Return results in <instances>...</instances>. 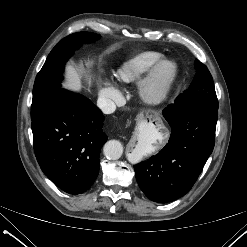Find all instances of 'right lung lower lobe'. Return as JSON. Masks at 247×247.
I'll list each match as a JSON object with an SVG mask.
<instances>
[{"instance_id":"right-lung-lower-lobe-1","label":"right lung lower lobe","mask_w":247,"mask_h":247,"mask_svg":"<svg viewBox=\"0 0 247 247\" xmlns=\"http://www.w3.org/2000/svg\"><path fill=\"white\" fill-rule=\"evenodd\" d=\"M104 119L89 99L61 89L32 121L37 161L63 191L83 193L97 178L100 149L108 139L102 131Z\"/></svg>"}]
</instances>
